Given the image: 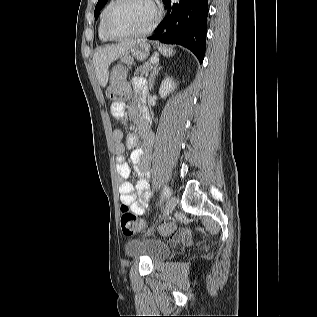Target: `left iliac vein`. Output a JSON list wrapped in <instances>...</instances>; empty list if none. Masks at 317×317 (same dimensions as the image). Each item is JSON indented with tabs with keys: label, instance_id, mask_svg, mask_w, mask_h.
I'll return each mask as SVG.
<instances>
[{
	"label": "left iliac vein",
	"instance_id": "4c4485c4",
	"mask_svg": "<svg viewBox=\"0 0 317 317\" xmlns=\"http://www.w3.org/2000/svg\"><path fill=\"white\" fill-rule=\"evenodd\" d=\"M176 204H177V199L175 196L172 195L165 204V207L162 213V219H166L170 216V214L174 211Z\"/></svg>",
	"mask_w": 317,
	"mask_h": 317
}]
</instances>
